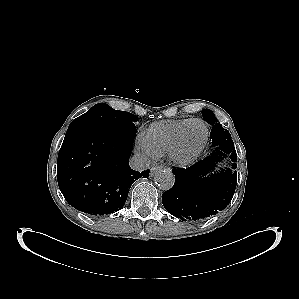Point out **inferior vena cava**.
<instances>
[{
  "label": "inferior vena cava",
  "mask_w": 299,
  "mask_h": 299,
  "mask_svg": "<svg viewBox=\"0 0 299 299\" xmlns=\"http://www.w3.org/2000/svg\"><path fill=\"white\" fill-rule=\"evenodd\" d=\"M129 163L132 169L143 171L149 167L150 160L146 156L136 154L130 159Z\"/></svg>",
  "instance_id": "1"
}]
</instances>
